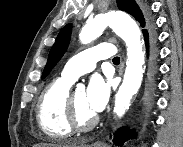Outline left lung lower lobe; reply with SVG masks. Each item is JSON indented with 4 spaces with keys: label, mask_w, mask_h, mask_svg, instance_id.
I'll return each mask as SVG.
<instances>
[{
    "label": "left lung lower lobe",
    "mask_w": 183,
    "mask_h": 147,
    "mask_svg": "<svg viewBox=\"0 0 183 147\" xmlns=\"http://www.w3.org/2000/svg\"><path fill=\"white\" fill-rule=\"evenodd\" d=\"M144 38H145V43H146V48L149 51V56H150V67H149V73H150V85L151 88H154L155 85V76L157 73V57H158V52H157V47H156V37L153 33V31H149L147 33H144ZM134 135L129 132L127 129L121 128L115 133L114 137V143L118 146H122L123 143L129 139L133 138Z\"/></svg>",
    "instance_id": "0a47b994"
}]
</instances>
